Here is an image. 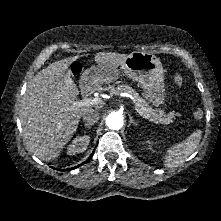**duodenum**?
<instances>
[{
  "mask_svg": "<svg viewBox=\"0 0 221 221\" xmlns=\"http://www.w3.org/2000/svg\"><path fill=\"white\" fill-rule=\"evenodd\" d=\"M82 93L86 97L90 96L92 93L91 87L86 82L83 84Z\"/></svg>",
  "mask_w": 221,
  "mask_h": 221,
  "instance_id": "410a0bca",
  "label": "duodenum"
}]
</instances>
